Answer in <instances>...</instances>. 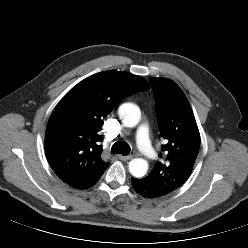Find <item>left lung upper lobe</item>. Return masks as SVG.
Masks as SVG:
<instances>
[{
  "label": "left lung upper lobe",
  "mask_w": 248,
  "mask_h": 248,
  "mask_svg": "<svg viewBox=\"0 0 248 248\" xmlns=\"http://www.w3.org/2000/svg\"><path fill=\"white\" fill-rule=\"evenodd\" d=\"M150 82L160 135L166 140L162 145L166 157L139 180L163 196L179 188L190 176L199 152L200 134L180 87L168 78H150Z\"/></svg>",
  "instance_id": "1"
}]
</instances>
